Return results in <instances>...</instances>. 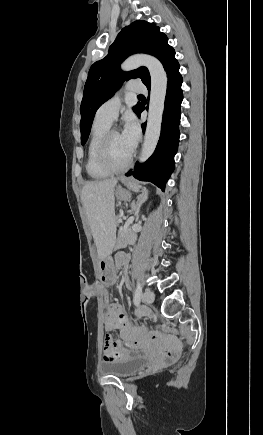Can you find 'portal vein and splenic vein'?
<instances>
[{
    "mask_svg": "<svg viewBox=\"0 0 263 435\" xmlns=\"http://www.w3.org/2000/svg\"><path fill=\"white\" fill-rule=\"evenodd\" d=\"M132 223H133V217L128 218L124 224V230H127L130 224Z\"/></svg>",
    "mask_w": 263,
    "mask_h": 435,
    "instance_id": "1",
    "label": "portal vein and splenic vein"
}]
</instances>
